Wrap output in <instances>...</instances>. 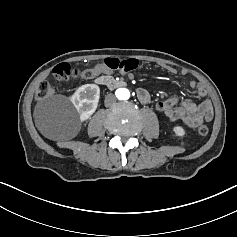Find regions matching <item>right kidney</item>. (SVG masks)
<instances>
[{
  "label": "right kidney",
  "instance_id": "right-kidney-1",
  "mask_svg": "<svg viewBox=\"0 0 237 237\" xmlns=\"http://www.w3.org/2000/svg\"><path fill=\"white\" fill-rule=\"evenodd\" d=\"M100 99V88L96 84L79 87L70 100L80 116V122L87 121L96 111Z\"/></svg>",
  "mask_w": 237,
  "mask_h": 237
}]
</instances>
